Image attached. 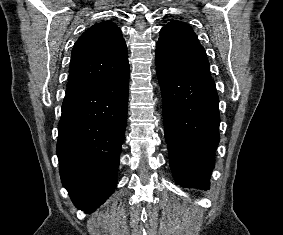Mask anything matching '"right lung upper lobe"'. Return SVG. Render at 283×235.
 <instances>
[{"mask_svg":"<svg viewBox=\"0 0 283 235\" xmlns=\"http://www.w3.org/2000/svg\"><path fill=\"white\" fill-rule=\"evenodd\" d=\"M127 71V46L121 30L111 21L97 23L73 47L66 92L117 78Z\"/></svg>","mask_w":283,"mask_h":235,"instance_id":"obj_1","label":"right lung upper lobe"}]
</instances>
